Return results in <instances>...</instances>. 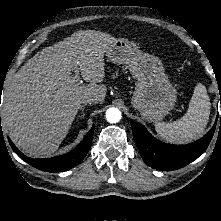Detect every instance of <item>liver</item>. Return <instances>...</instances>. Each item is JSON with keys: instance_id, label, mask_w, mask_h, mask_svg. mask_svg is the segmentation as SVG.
<instances>
[{"instance_id": "obj_1", "label": "liver", "mask_w": 221, "mask_h": 221, "mask_svg": "<svg viewBox=\"0 0 221 221\" xmlns=\"http://www.w3.org/2000/svg\"><path fill=\"white\" fill-rule=\"evenodd\" d=\"M95 30L77 31L29 59L3 95L2 121L12 141L30 156L54 153L85 99L101 103L107 88L104 54L114 42ZM77 68L88 85H78Z\"/></svg>"}]
</instances>
